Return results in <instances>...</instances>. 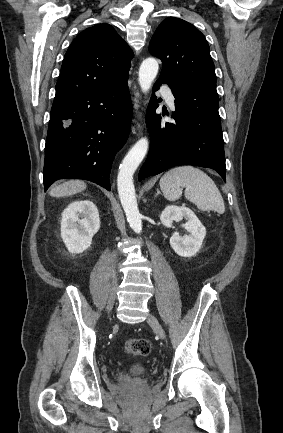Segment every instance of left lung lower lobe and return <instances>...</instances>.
<instances>
[{
    "mask_svg": "<svg viewBox=\"0 0 283 433\" xmlns=\"http://www.w3.org/2000/svg\"><path fill=\"white\" fill-rule=\"evenodd\" d=\"M166 84L158 79L153 87L157 91ZM177 101V90L172 89ZM153 93L148 106L147 125L151 134V148L139 172V181L159 174L171 167L193 165L213 168L226 181L224 141L221 123L205 116L183 110L175 104L173 122H162L155 114L158 107ZM168 115V114H167Z\"/></svg>",
    "mask_w": 283,
    "mask_h": 433,
    "instance_id": "0a47b994",
    "label": "left lung lower lobe"
}]
</instances>
